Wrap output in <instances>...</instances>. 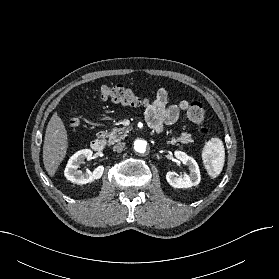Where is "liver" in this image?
Segmentation results:
<instances>
[{
	"label": "liver",
	"instance_id": "6515ba94",
	"mask_svg": "<svg viewBox=\"0 0 279 279\" xmlns=\"http://www.w3.org/2000/svg\"><path fill=\"white\" fill-rule=\"evenodd\" d=\"M67 148V131L63 121L55 112L48 122L43 145V163L51 177L55 175L60 163L65 158Z\"/></svg>",
	"mask_w": 279,
	"mask_h": 279
}]
</instances>
